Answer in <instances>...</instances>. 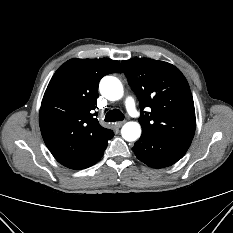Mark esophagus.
Here are the masks:
<instances>
[{"mask_svg": "<svg viewBox=\"0 0 233 233\" xmlns=\"http://www.w3.org/2000/svg\"><path fill=\"white\" fill-rule=\"evenodd\" d=\"M125 122H126V121H120V122L117 123V126H118V127H121V126H123V125L125 124Z\"/></svg>", "mask_w": 233, "mask_h": 233, "instance_id": "esophagus-1", "label": "esophagus"}]
</instances>
